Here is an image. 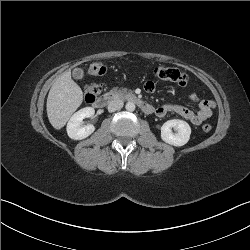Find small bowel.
Wrapping results in <instances>:
<instances>
[{
  "instance_id": "small-bowel-1",
  "label": "small bowel",
  "mask_w": 250,
  "mask_h": 250,
  "mask_svg": "<svg viewBox=\"0 0 250 250\" xmlns=\"http://www.w3.org/2000/svg\"><path fill=\"white\" fill-rule=\"evenodd\" d=\"M147 92H153L155 85L153 82H146L144 86ZM191 101L197 102L199 109L193 111L187 107L176 105V104H163L156 108L155 113L158 117H164L168 113L179 115L186 120L190 121L194 125H199L212 115L214 103L210 100H199L196 92L192 91L189 94Z\"/></svg>"
}]
</instances>
